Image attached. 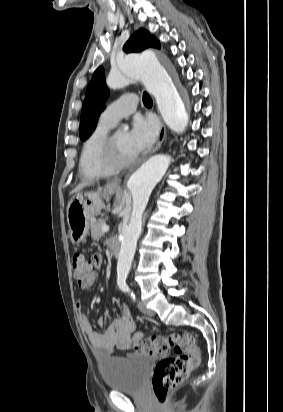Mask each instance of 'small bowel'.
I'll return each mask as SVG.
<instances>
[{
  "mask_svg": "<svg viewBox=\"0 0 283 412\" xmlns=\"http://www.w3.org/2000/svg\"><path fill=\"white\" fill-rule=\"evenodd\" d=\"M93 257H96L99 261L95 266V269H98L101 265V257L98 254L93 255ZM96 278L97 276L93 270L89 278L79 283V285L82 288H90L96 282ZM76 308L81 329L88 337L95 355L99 357L109 356L115 351H128L143 338L141 332L131 337V334L136 329V325L129 308L125 304L121 305L120 315L114 318L107 326L103 318L97 320L98 326L105 327L102 332L93 329L89 318L82 312L80 301L76 302Z\"/></svg>",
  "mask_w": 283,
  "mask_h": 412,
  "instance_id": "obj_1",
  "label": "small bowel"
}]
</instances>
